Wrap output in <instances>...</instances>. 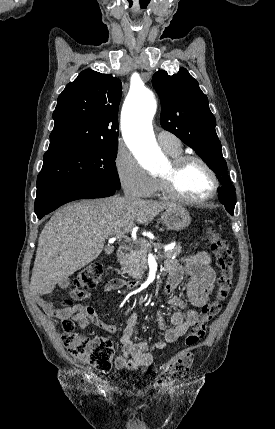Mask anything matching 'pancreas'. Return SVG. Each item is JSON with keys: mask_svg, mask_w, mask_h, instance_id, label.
Here are the masks:
<instances>
[{"mask_svg": "<svg viewBox=\"0 0 275 429\" xmlns=\"http://www.w3.org/2000/svg\"><path fill=\"white\" fill-rule=\"evenodd\" d=\"M152 247L159 248V245L149 243L146 240L140 241L139 245L130 252L127 259L121 262V265L126 267L125 273L133 278L142 277L144 271L147 269V255ZM181 249V245L177 244L172 249L165 250L163 256L168 259L178 256L181 253Z\"/></svg>", "mask_w": 275, "mask_h": 429, "instance_id": "cf45deb5", "label": "pancreas"}]
</instances>
